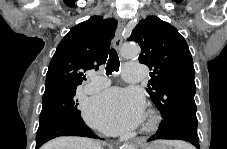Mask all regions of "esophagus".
I'll return each instance as SVG.
<instances>
[{"label":"esophagus","instance_id":"obj_1","mask_svg":"<svg viewBox=\"0 0 227 149\" xmlns=\"http://www.w3.org/2000/svg\"><path fill=\"white\" fill-rule=\"evenodd\" d=\"M125 27V20L121 19L119 20L118 23V28L116 31V36H115V40H114V46L117 50L120 49L122 43H123V30ZM137 145H146L147 141L145 140L144 137H139L138 140L136 141Z\"/></svg>","mask_w":227,"mask_h":149}]
</instances>
